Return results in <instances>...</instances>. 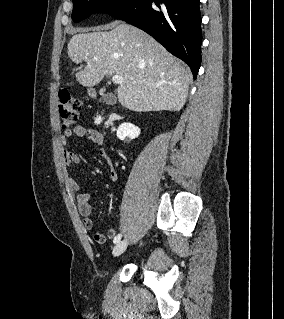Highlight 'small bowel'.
Listing matches in <instances>:
<instances>
[{"instance_id":"small-bowel-1","label":"small bowel","mask_w":284,"mask_h":319,"mask_svg":"<svg viewBox=\"0 0 284 319\" xmlns=\"http://www.w3.org/2000/svg\"><path fill=\"white\" fill-rule=\"evenodd\" d=\"M72 138H87L92 143L99 146V155L106 160L109 159V156L106 150L102 147L104 143V135L96 130V129H87L83 126H75L73 129H67L64 131V134L61 138V143L66 145L68 140ZM63 160L64 163L68 166L73 164H79L81 162L80 156L69 150H65L63 153ZM110 178L115 181L117 180V173L115 170H111ZM69 184L71 188L75 191H80V184L77 180L70 178ZM91 194L88 192H79L76 201H77V208L80 215L83 217L82 223L86 230H91L93 228V221L91 219V215L93 213V207L90 202ZM116 235V229L110 228L106 234L102 232H95L94 233V240L97 243H104L107 239H111Z\"/></svg>"}]
</instances>
